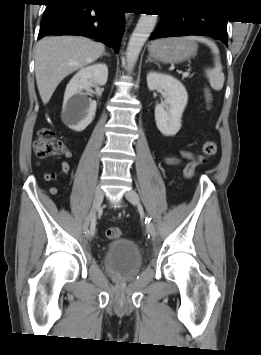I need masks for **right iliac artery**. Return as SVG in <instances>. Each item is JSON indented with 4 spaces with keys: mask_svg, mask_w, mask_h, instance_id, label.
<instances>
[{
    "mask_svg": "<svg viewBox=\"0 0 261 355\" xmlns=\"http://www.w3.org/2000/svg\"><path fill=\"white\" fill-rule=\"evenodd\" d=\"M94 232H95V215H94L93 218H92V222H91V226H90V231H89V233L93 235Z\"/></svg>",
    "mask_w": 261,
    "mask_h": 355,
    "instance_id": "right-iliac-artery-1",
    "label": "right iliac artery"
}]
</instances>
